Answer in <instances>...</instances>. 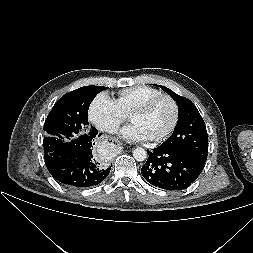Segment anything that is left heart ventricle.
Segmentation results:
<instances>
[{"label": "left heart ventricle", "instance_id": "left-heart-ventricle-1", "mask_svg": "<svg viewBox=\"0 0 253 253\" xmlns=\"http://www.w3.org/2000/svg\"><path fill=\"white\" fill-rule=\"evenodd\" d=\"M173 114L172 104L167 99H163L148 112L134 116L131 121L139 124L150 138H155L168 129L173 120Z\"/></svg>", "mask_w": 253, "mask_h": 253}]
</instances>
